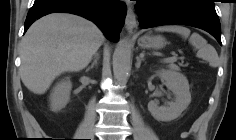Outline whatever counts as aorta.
Here are the masks:
<instances>
[{"instance_id": "762f6f07", "label": "aorta", "mask_w": 236, "mask_h": 140, "mask_svg": "<svg viewBox=\"0 0 236 140\" xmlns=\"http://www.w3.org/2000/svg\"><path fill=\"white\" fill-rule=\"evenodd\" d=\"M131 43L129 39L120 40L113 54V73L117 80H123L130 66Z\"/></svg>"}]
</instances>
